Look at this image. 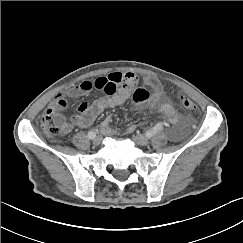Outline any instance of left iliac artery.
I'll return each instance as SVG.
<instances>
[{"instance_id": "obj_1", "label": "left iliac artery", "mask_w": 243, "mask_h": 243, "mask_svg": "<svg viewBox=\"0 0 243 243\" xmlns=\"http://www.w3.org/2000/svg\"><path fill=\"white\" fill-rule=\"evenodd\" d=\"M162 129V124L158 123L157 125H155L152 129L148 130L145 135L148 138L153 137L157 132H159Z\"/></svg>"}]
</instances>
